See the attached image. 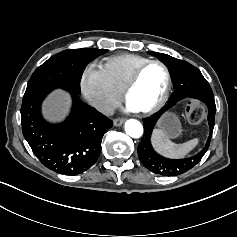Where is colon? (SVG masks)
Listing matches in <instances>:
<instances>
[{
    "label": "colon",
    "mask_w": 237,
    "mask_h": 237,
    "mask_svg": "<svg viewBox=\"0 0 237 237\" xmlns=\"http://www.w3.org/2000/svg\"><path fill=\"white\" fill-rule=\"evenodd\" d=\"M186 118L190 123L198 124L206 118V110L197 100H190L186 106Z\"/></svg>",
    "instance_id": "1"
}]
</instances>
